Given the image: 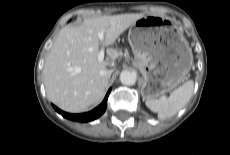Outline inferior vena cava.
I'll use <instances>...</instances> for the list:
<instances>
[{
  "label": "inferior vena cava",
  "mask_w": 230,
  "mask_h": 155,
  "mask_svg": "<svg viewBox=\"0 0 230 155\" xmlns=\"http://www.w3.org/2000/svg\"><path fill=\"white\" fill-rule=\"evenodd\" d=\"M106 75H107L108 77H110L111 71H110V70H107V71H106Z\"/></svg>",
  "instance_id": "602c4592"
}]
</instances>
